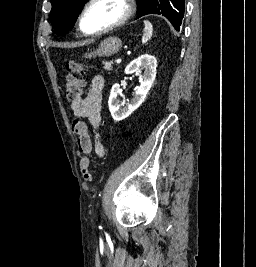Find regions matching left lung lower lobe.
<instances>
[{
  "label": "left lung lower lobe",
  "instance_id": "left-lung-lower-lobe-1",
  "mask_svg": "<svg viewBox=\"0 0 256 267\" xmlns=\"http://www.w3.org/2000/svg\"><path fill=\"white\" fill-rule=\"evenodd\" d=\"M184 10H185L184 0H175V18L172 22V25L178 31L182 22V18L184 16Z\"/></svg>",
  "mask_w": 256,
  "mask_h": 267
}]
</instances>
